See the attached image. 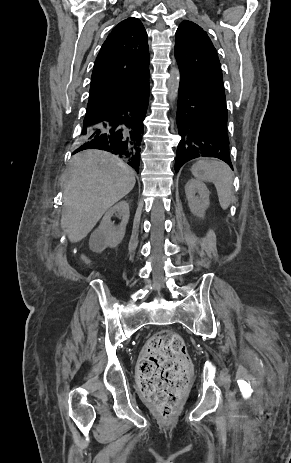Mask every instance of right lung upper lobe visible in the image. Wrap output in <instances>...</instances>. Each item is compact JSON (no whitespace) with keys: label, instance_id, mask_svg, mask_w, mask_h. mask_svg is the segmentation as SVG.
<instances>
[{"label":"right lung upper lobe","instance_id":"1","mask_svg":"<svg viewBox=\"0 0 291 463\" xmlns=\"http://www.w3.org/2000/svg\"><path fill=\"white\" fill-rule=\"evenodd\" d=\"M149 85V47L145 28L137 18L116 25L94 63L85 120L119 107Z\"/></svg>","mask_w":291,"mask_h":463}]
</instances>
